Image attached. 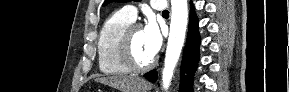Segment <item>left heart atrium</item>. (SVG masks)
<instances>
[{"label": "left heart atrium", "instance_id": "1", "mask_svg": "<svg viewBox=\"0 0 289 92\" xmlns=\"http://www.w3.org/2000/svg\"><path fill=\"white\" fill-rule=\"evenodd\" d=\"M146 47L152 56H155L162 45V35L157 23L150 19L143 29Z\"/></svg>", "mask_w": 289, "mask_h": 92}]
</instances>
